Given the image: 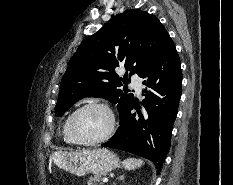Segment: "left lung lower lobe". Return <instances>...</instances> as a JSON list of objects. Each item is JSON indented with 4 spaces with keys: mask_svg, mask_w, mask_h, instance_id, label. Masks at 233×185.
<instances>
[{
    "mask_svg": "<svg viewBox=\"0 0 233 185\" xmlns=\"http://www.w3.org/2000/svg\"><path fill=\"white\" fill-rule=\"evenodd\" d=\"M146 98L143 109L134 100L120 119L114 136L103 146L117 148L151 160L159 173L170 148L171 133L181 97L182 71L175 45L166 39L140 75ZM133 107L138 115L132 114Z\"/></svg>",
    "mask_w": 233,
    "mask_h": 185,
    "instance_id": "obj_1",
    "label": "left lung lower lobe"
}]
</instances>
